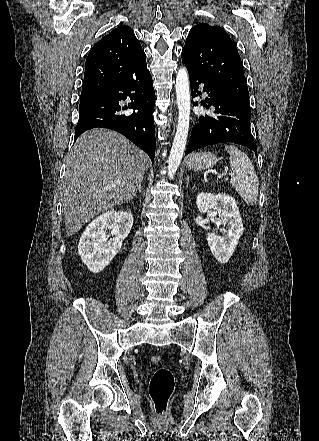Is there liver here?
I'll return each instance as SVG.
<instances>
[{
	"label": "liver",
	"mask_w": 319,
	"mask_h": 441,
	"mask_svg": "<svg viewBox=\"0 0 319 441\" xmlns=\"http://www.w3.org/2000/svg\"><path fill=\"white\" fill-rule=\"evenodd\" d=\"M150 164L146 153L115 131L95 128L83 133L68 155L61 186L67 234L132 200Z\"/></svg>",
	"instance_id": "1"
}]
</instances>
